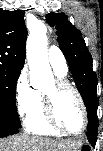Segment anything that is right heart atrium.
I'll use <instances>...</instances> for the list:
<instances>
[{"mask_svg":"<svg viewBox=\"0 0 103 151\" xmlns=\"http://www.w3.org/2000/svg\"><path fill=\"white\" fill-rule=\"evenodd\" d=\"M35 104V91L28 83L25 72H22L15 84V105L20 117H27Z\"/></svg>","mask_w":103,"mask_h":151,"instance_id":"d8ad5b80","label":"right heart atrium"}]
</instances>
